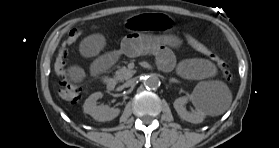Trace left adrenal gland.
<instances>
[{"instance_id":"obj_1","label":"left adrenal gland","mask_w":279,"mask_h":148,"mask_svg":"<svg viewBox=\"0 0 279 148\" xmlns=\"http://www.w3.org/2000/svg\"><path fill=\"white\" fill-rule=\"evenodd\" d=\"M169 83H179V81L175 78L169 79Z\"/></svg>"}]
</instances>
